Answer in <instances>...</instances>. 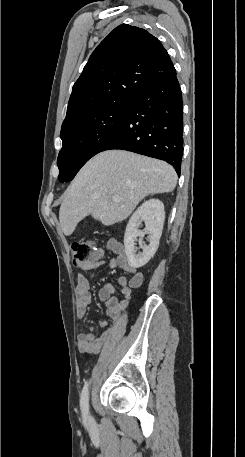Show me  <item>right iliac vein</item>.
Returning <instances> with one entry per match:
<instances>
[{"label":"right iliac vein","mask_w":245,"mask_h":457,"mask_svg":"<svg viewBox=\"0 0 245 457\" xmlns=\"http://www.w3.org/2000/svg\"><path fill=\"white\" fill-rule=\"evenodd\" d=\"M87 419H88L89 422H92V420H93L91 415H88Z\"/></svg>","instance_id":"1"}]
</instances>
